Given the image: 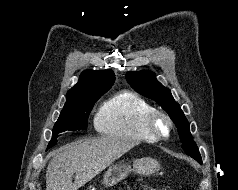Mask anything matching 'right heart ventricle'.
<instances>
[{
	"instance_id": "right-heart-ventricle-1",
	"label": "right heart ventricle",
	"mask_w": 238,
	"mask_h": 190,
	"mask_svg": "<svg viewBox=\"0 0 238 190\" xmlns=\"http://www.w3.org/2000/svg\"><path fill=\"white\" fill-rule=\"evenodd\" d=\"M153 109L140 95L120 91L103 102L95 115L94 125L106 136L154 142L156 138L145 125V118Z\"/></svg>"
}]
</instances>
